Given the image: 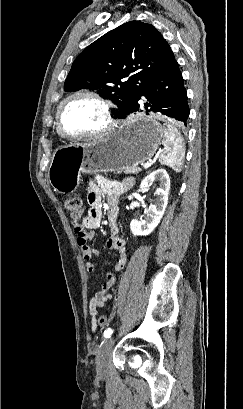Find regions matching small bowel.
I'll return each mask as SVG.
<instances>
[{
	"instance_id": "small-bowel-1",
	"label": "small bowel",
	"mask_w": 243,
	"mask_h": 409,
	"mask_svg": "<svg viewBox=\"0 0 243 409\" xmlns=\"http://www.w3.org/2000/svg\"><path fill=\"white\" fill-rule=\"evenodd\" d=\"M133 185V178H127L122 182L98 179L89 184L87 194L89 209L82 221L83 226L89 229V231L86 232L85 236L83 237L77 236V242L88 272L92 273L95 271V265L91 262L92 257L100 256L98 251L90 248L88 241L94 237L93 230L100 226L102 208L104 205L107 209L109 225L112 231V235L107 241V246L117 254L114 269L115 271L120 272L125 268L127 264L125 242L122 238L116 235V221L118 217L117 204L121 196ZM103 195L105 196L104 200ZM106 276L107 281L96 290L89 302V314L92 320L93 331H95L97 328L96 316L98 313V308L105 306L106 303L112 298L109 291L113 288L117 279L116 274L113 272H107Z\"/></svg>"
}]
</instances>
